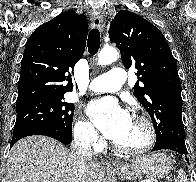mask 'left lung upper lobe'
Wrapping results in <instances>:
<instances>
[{
	"label": "left lung upper lobe",
	"mask_w": 196,
	"mask_h": 182,
	"mask_svg": "<svg viewBox=\"0 0 196 182\" xmlns=\"http://www.w3.org/2000/svg\"><path fill=\"white\" fill-rule=\"evenodd\" d=\"M109 37L119 48L123 65L138 70L134 96L152 119L156 144L185 142L180 78L161 31L135 13L120 11L111 22Z\"/></svg>",
	"instance_id": "1"
}]
</instances>
